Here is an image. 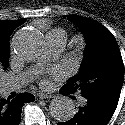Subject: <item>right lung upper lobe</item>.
I'll return each instance as SVG.
<instances>
[{"instance_id":"cb5924a9","label":"right lung upper lobe","mask_w":125,"mask_h":125,"mask_svg":"<svg viewBox=\"0 0 125 125\" xmlns=\"http://www.w3.org/2000/svg\"><path fill=\"white\" fill-rule=\"evenodd\" d=\"M25 22V19L16 21L0 20V41L10 40L12 32Z\"/></svg>"}]
</instances>
